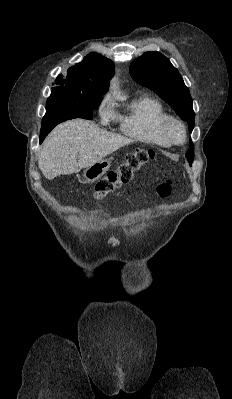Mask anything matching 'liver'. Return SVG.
Masks as SVG:
<instances>
[{
  "mask_svg": "<svg viewBox=\"0 0 232 399\" xmlns=\"http://www.w3.org/2000/svg\"><path fill=\"white\" fill-rule=\"evenodd\" d=\"M133 140L101 130L94 122L70 120L57 126L46 138L38 166L47 180L90 168Z\"/></svg>",
  "mask_w": 232,
  "mask_h": 399,
  "instance_id": "1",
  "label": "liver"
}]
</instances>
